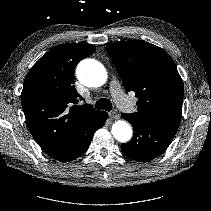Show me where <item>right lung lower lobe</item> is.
<instances>
[{
  "label": "right lung lower lobe",
  "instance_id": "obj_1",
  "mask_svg": "<svg viewBox=\"0 0 211 211\" xmlns=\"http://www.w3.org/2000/svg\"><path fill=\"white\" fill-rule=\"evenodd\" d=\"M107 117L108 114L102 112L91 123L82 128L65 148L51 155V157L58 161L67 162L81 156L88 149L95 131L104 126Z\"/></svg>",
  "mask_w": 211,
  "mask_h": 211
}]
</instances>
